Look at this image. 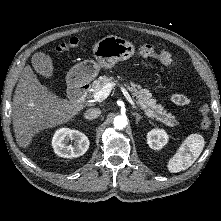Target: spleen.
Returning <instances> with one entry per match:
<instances>
[{"mask_svg":"<svg viewBox=\"0 0 221 221\" xmlns=\"http://www.w3.org/2000/svg\"><path fill=\"white\" fill-rule=\"evenodd\" d=\"M205 145L200 134L189 135L179 147L175 155L169 160L167 168L171 173H177L189 168L199 157Z\"/></svg>","mask_w":221,"mask_h":221,"instance_id":"3e777b00","label":"spleen"}]
</instances>
